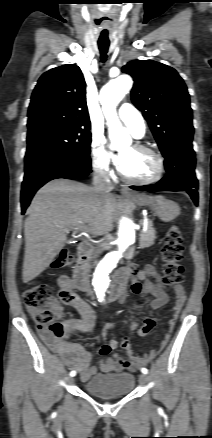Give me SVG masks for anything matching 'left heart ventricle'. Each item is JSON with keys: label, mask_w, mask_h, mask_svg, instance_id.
Segmentation results:
<instances>
[{"label": "left heart ventricle", "mask_w": 212, "mask_h": 438, "mask_svg": "<svg viewBox=\"0 0 212 438\" xmlns=\"http://www.w3.org/2000/svg\"><path fill=\"white\" fill-rule=\"evenodd\" d=\"M121 155L125 157L121 170L129 178L143 180L156 173V161L151 154L128 146L121 151Z\"/></svg>", "instance_id": "left-heart-ventricle-1"}]
</instances>
